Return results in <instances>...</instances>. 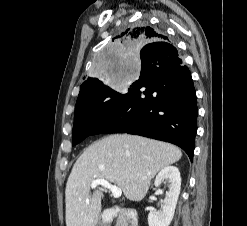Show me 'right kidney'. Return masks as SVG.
Segmentation results:
<instances>
[{
  "label": "right kidney",
  "mask_w": 247,
  "mask_h": 226,
  "mask_svg": "<svg viewBox=\"0 0 247 226\" xmlns=\"http://www.w3.org/2000/svg\"><path fill=\"white\" fill-rule=\"evenodd\" d=\"M164 180L169 182V190L163 200L162 209L150 211L148 215L149 226H169L174 217L181 188V177L178 168L175 166L163 168L155 178V186H159Z\"/></svg>",
  "instance_id": "obj_1"
}]
</instances>
